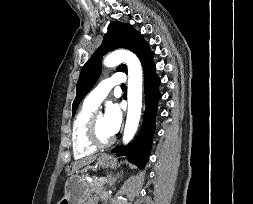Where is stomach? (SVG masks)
Instances as JSON below:
<instances>
[{"label":"stomach","instance_id":"1","mask_svg":"<svg viewBox=\"0 0 253 204\" xmlns=\"http://www.w3.org/2000/svg\"><path fill=\"white\" fill-rule=\"evenodd\" d=\"M98 164L103 168L112 167L114 158L107 154H102L98 160ZM65 194L58 204H86L92 197L88 182L84 175L71 174L65 182Z\"/></svg>","mask_w":253,"mask_h":204}]
</instances>
